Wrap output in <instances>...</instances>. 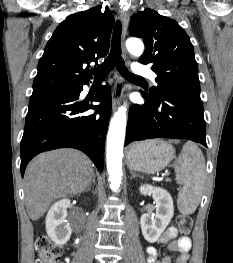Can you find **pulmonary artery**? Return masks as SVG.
Here are the masks:
<instances>
[{
  "label": "pulmonary artery",
  "mask_w": 233,
  "mask_h": 263,
  "mask_svg": "<svg viewBox=\"0 0 233 263\" xmlns=\"http://www.w3.org/2000/svg\"><path fill=\"white\" fill-rule=\"evenodd\" d=\"M133 73L140 76H145L155 81L156 74L148 66L136 63L133 67Z\"/></svg>",
  "instance_id": "obj_1"
}]
</instances>
